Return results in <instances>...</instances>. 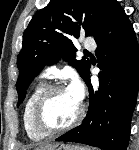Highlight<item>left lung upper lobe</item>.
I'll use <instances>...</instances> for the list:
<instances>
[{
  "label": "left lung upper lobe",
  "instance_id": "1",
  "mask_svg": "<svg viewBox=\"0 0 139 150\" xmlns=\"http://www.w3.org/2000/svg\"><path fill=\"white\" fill-rule=\"evenodd\" d=\"M116 0H50L30 21L23 34L22 50L17 58L20 71L16 83L18 105L25 98L33 79L46 65L63 58L85 80L91 66L83 57L77 60L72 39L80 31L94 38L105 27Z\"/></svg>",
  "mask_w": 139,
  "mask_h": 150
}]
</instances>
